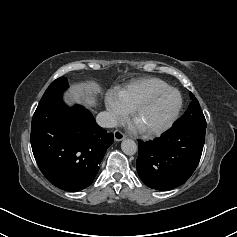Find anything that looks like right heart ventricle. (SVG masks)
I'll return each mask as SVG.
<instances>
[{"label":"right heart ventricle","mask_w":237,"mask_h":237,"mask_svg":"<svg viewBox=\"0 0 237 237\" xmlns=\"http://www.w3.org/2000/svg\"><path fill=\"white\" fill-rule=\"evenodd\" d=\"M167 87L169 85L161 79L143 78L132 81L123 88L115 90L112 95L130 112L146 96Z\"/></svg>","instance_id":"right-heart-ventricle-1"}]
</instances>
